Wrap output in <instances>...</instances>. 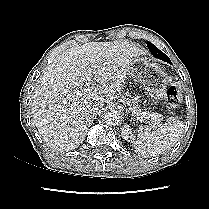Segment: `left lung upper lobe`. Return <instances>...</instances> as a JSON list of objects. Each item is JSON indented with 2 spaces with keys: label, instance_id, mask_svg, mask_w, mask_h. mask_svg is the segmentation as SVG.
I'll use <instances>...</instances> for the list:
<instances>
[{
  "label": "left lung upper lobe",
  "instance_id": "1",
  "mask_svg": "<svg viewBox=\"0 0 209 209\" xmlns=\"http://www.w3.org/2000/svg\"><path fill=\"white\" fill-rule=\"evenodd\" d=\"M147 46L150 50V52L158 59L163 60L167 63H171L170 59L168 58V56L166 54H164L163 52H161L157 47H155L151 42L147 41Z\"/></svg>",
  "mask_w": 209,
  "mask_h": 209
}]
</instances>
